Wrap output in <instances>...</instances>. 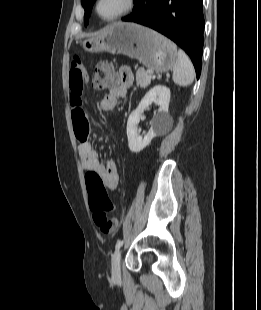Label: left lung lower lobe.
<instances>
[{
    "instance_id": "left-lung-lower-lobe-1",
    "label": "left lung lower lobe",
    "mask_w": 261,
    "mask_h": 310,
    "mask_svg": "<svg viewBox=\"0 0 261 310\" xmlns=\"http://www.w3.org/2000/svg\"><path fill=\"white\" fill-rule=\"evenodd\" d=\"M203 0H137L133 12L122 18L148 26L167 36L190 56L196 76L201 73Z\"/></svg>"
}]
</instances>
